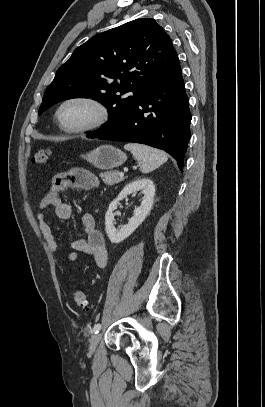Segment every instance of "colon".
<instances>
[{"label": "colon", "mask_w": 265, "mask_h": 407, "mask_svg": "<svg viewBox=\"0 0 265 407\" xmlns=\"http://www.w3.org/2000/svg\"><path fill=\"white\" fill-rule=\"evenodd\" d=\"M51 151L48 149H39L32 157V162L37 165L47 164L50 160ZM73 301L77 307L83 312H88L92 309V304L89 301L87 294L81 290L76 289L73 293Z\"/></svg>", "instance_id": "colon-1"}]
</instances>
